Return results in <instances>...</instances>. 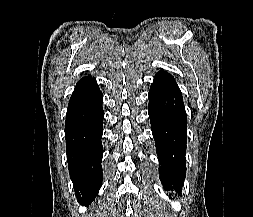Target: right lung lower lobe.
<instances>
[{
	"instance_id": "98d812e1",
	"label": "right lung lower lobe",
	"mask_w": 253,
	"mask_h": 217,
	"mask_svg": "<svg viewBox=\"0 0 253 217\" xmlns=\"http://www.w3.org/2000/svg\"><path fill=\"white\" fill-rule=\"evenodd\" d=\"M103 95L91 76L79 80L66 116V151L79 202L90 204L102 183Z\"/></svg>"
}]
</instances>
